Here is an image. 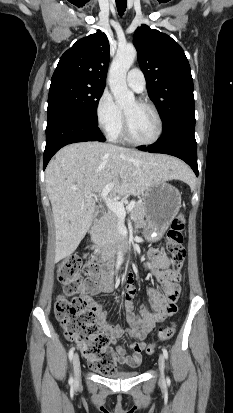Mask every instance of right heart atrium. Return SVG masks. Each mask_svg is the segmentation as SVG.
Instances as JSON below:
<instances>
[{
	"label": "right heart atrium",
	"mask_w": 233,
	"mask_h": 413,
	"mask_svg": "<svg viewBox=\"0 0 233 413\" xmlns=\"http://www.w3.org/2000/svg\"><path fill=\"white\" fill-rule=\"evenodd\" d=\"M95 117L99 128L114 137L123 126V114L108 91H103L95 105Z\"/></svg>",
	"instance_id": "right-heart-atrium-1"
}]
</instances>
